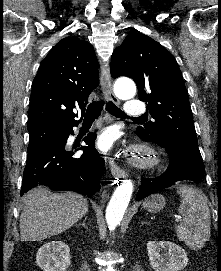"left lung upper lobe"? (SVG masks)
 Segmentation results:
<instances>
[{
  "instance_id": "obj_1",
  "label": "left lung upper lobe",
  "mask_w": 221,
  "mask_h": 271,
  "mask_svg": "<svg viewBox=\"0 0 221 271\" xmlns=\"http://www.w3.org/2000/svg\"><path fill=\"white\" fill-rule=\"evenodd\" d=\"M111 76H128L137 87L139 99L155 121L136 128L148 139L171 138L199 152L181 71L176 59L157 41L142 33L126 36L111 57Z\"/></svg>"
}]
</instances>
